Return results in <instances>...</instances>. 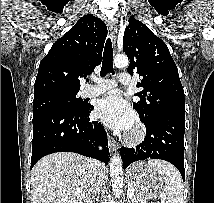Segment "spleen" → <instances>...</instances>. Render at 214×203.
Here are the masks:
<instances>
[{
  "label": "spleen",
  "instance_id": "3e777b00",
  "mask_svg": "<svg viewBox=\"0 0 214 203\" xmlns=\"http://www.w3.org/2000/svg\"><path fill=\"white\" fill-rule=\"evenodd\" d=\"M148 165L163 176L164 190L161 194V203H184L182 178L177 169L161 160H149Z\"/></svg>",
  "mask_w": 214,
  "mask_h": 203
}]
</instances>
